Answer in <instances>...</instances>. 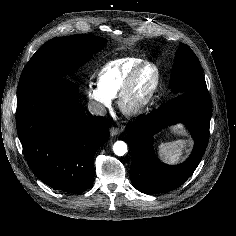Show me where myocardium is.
Here are the masks:
<instances>
[{
	"mask_svg": "<svg viewBox=\"0 0 236 236\" xmlns=\"http://www.w3.org/2000/svg\"><path fill=\"white\" fill-rule=\"evenodd\" d=\"M146 67H153L156 71V79L153 84V87L145 96V98L135 106H128V99L133 91L135 82L139 76V74L146 68ZM162 82V73L157 64L150 61H145L137 66L127 77L126 81L124 82L117 98V104L120 111L126 115L127 117H138L145 114L150 107L153 105L157 94L160 90Z\"/></svg>",
	"mask_w": 236,
	"mask_h": 236,
	"instance_id": "myocardium-1",
	"label": "myocardium"
}]
</instances>
